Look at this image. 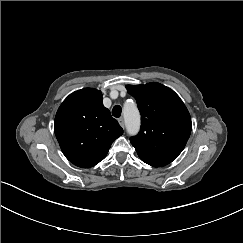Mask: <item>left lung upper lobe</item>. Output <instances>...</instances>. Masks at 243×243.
Returning a JSON list of instances; mask_svg holds the SVG:
<instances>
[{"label": "left lung upper lobe", "mask_w": 243, "mask_h": 243, "mask_svg": "<svg viewBox=\"0 0 243 243\" xmlns=\"http://www.w3.org/2000/svg\"><path fill=\"white\" fill-rule=\"evenodd\" d=\"M141 114V128L130 141L145 163L162 167L172 162L184 149L191 133L190 114L170 88L151 82L127 85Z\"/></svg>", "instance_id": "obj_1"}]
</instances>
